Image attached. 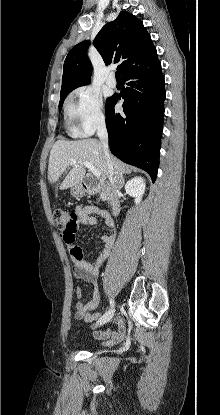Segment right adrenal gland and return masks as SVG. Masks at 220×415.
<instances>
[{
    "instance_id": "2a0ac1e0",
    "label": "right adrenal gland",
    "mask_w": 220,
    "mask_h": 415,
    "mask_svg": "<svg viewBox=\"0 0 220 415\" xmlns=\"http://www.w3.org/2000/svg\"><path fill=\"white\" fill-rule=\"evenodd\" d=\"M129 173H130V172L126 171V172H124L123 174H120L121 179L123 180V176H124V175H127V174H129Z\"/></svg>"
}]
</instances>
